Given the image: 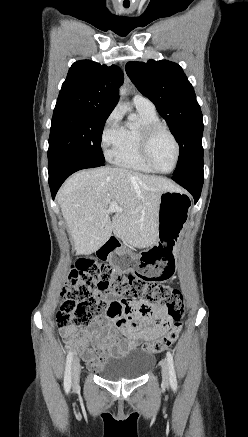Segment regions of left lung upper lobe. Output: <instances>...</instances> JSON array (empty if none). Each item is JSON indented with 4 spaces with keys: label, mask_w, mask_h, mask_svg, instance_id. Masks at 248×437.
Wrapping results in <instances>:
<instances>
[{
    "label": "left lung upper lobe",
    "mask_w": 248,
    "mask_h": 437,
    "mask_svg": "<svg viewBox=\"0 0 248 437\" xmlns=\"http://www.w3.org/2000/svg\"><path fill=\"white\" fill-rule=\"evenodd\" d=\"M126 73L156 106L176 138L180 155L173 177L203 169V116L194 89L182 68L167 60L128 62Z\"/></svg>",
    "instance_id": "5c2ea615"
}]
</instances>
